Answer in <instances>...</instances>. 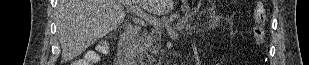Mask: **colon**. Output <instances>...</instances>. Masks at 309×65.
Segmentation results:
<instances>
[{
	"label": "colon",
	"instance_id": "colon-1",
	"mask_svg": "<svg viewBox=\"0 0 309 65\" xmlns=\"http://www.w3.org/2000/svg\"><path fill=\"white\" fill-rule=\"evenodd\" d=\"M267 19V13L265 7L258 3L254 9V21L255 27L253 32V38L257 45H262L265 42L266 34H265V22ZM106 46L103 45L101 47V51L105 50ZM97 53L94 51H87L84 55V59L76 61L75 65H90L89 63H83L86 60H95Z\"/></svg>",
	"mask_w": 309,
	"mask_h": 65
}]
</instances>
